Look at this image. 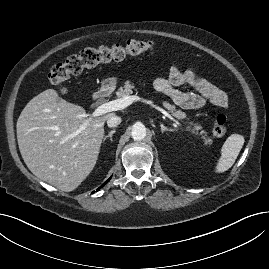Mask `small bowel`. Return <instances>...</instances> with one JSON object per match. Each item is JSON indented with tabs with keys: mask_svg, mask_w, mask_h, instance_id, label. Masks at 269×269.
<instances>
[{
	"mask_svg": "<svg viewBox=\"0 0 269 269\" xmlns=\"http://www.w3.org/2000/svg\"><path fill=\"white\" fill-rule=\"evenodd\" d=\"M181 85H188L194 92H182ZM154 90L168 96L179 107L186 110L203 108L207 102L216 107L227 108L229 105L226 93L191 68L172 67L168 77L157 78L153 82Z\"/></svg>",
	"mask_w": 269,
	"mask_h": 269,
	"instance_id": "obj_1",
	"label": "small bowel"
}]
</instances>
